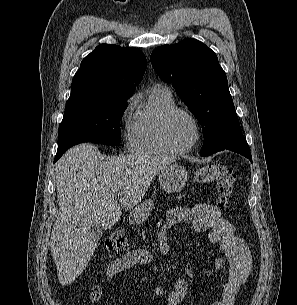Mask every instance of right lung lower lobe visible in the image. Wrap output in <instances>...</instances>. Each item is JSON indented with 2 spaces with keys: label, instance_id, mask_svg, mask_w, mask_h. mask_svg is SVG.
Instances as JSON below:
<instances>
[{
  "label": "right lung lower lobe",
  "instance_id": "98d812e1",
  "mask_svg": "<svg viewBox=\"0 0 297 305\" xmlns=\"http://www.w3.org/2000/svg\"><path fill=\"white\" fill-rule=\"evenodd\" d=\"M65 151H57V154L54 159V163L63 155Z\"/></svg>",
  "mask_w": 297,
  "mask_h": 305
}]
</instances>
